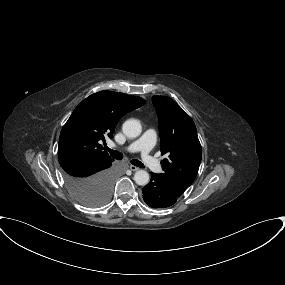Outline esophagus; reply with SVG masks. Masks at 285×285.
Returning a JSON list of instances; mask_svg holds the SVG:
<instances>
[{"label":"esophagus","instance_id":"esophagus-1","mask_svg":"<svg viewBox=\"0 0 285 285\" xmlns=\"http://www.w3.org/2000/svg\"><path fill=\"white\" fill-rule=\"evenodd\" d=\"M130 169H131V171H138L139 170V168L134 166V165H130Z\"/></svg>","mask_w":285,"mask_h":285}]
</instances>
